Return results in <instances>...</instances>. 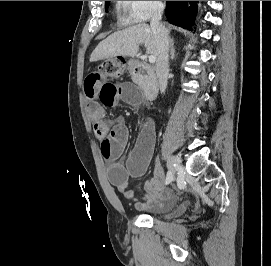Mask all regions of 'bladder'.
<instances>
[{"label":"bladder","mask_w":271,"mask_h":266,"mask_svg":"<svg viewBox=\"0 0 271 266\" xmlns=\"http://www.w3.org/2000/svg\"><path fill=\"white\" fill-rule=\"evenodd\" d=\"M193 207H194L193 202H191V201H185L182 204H180V205H178V206H176L174 208H171V209L167 210V212H168V214L175 213L177 215H180V214H183L186 211L192 209Z\"/></svg>","instance_id":"obj_1"}]
</instances>
